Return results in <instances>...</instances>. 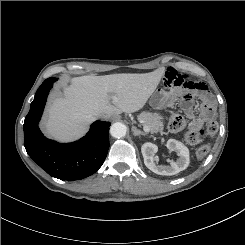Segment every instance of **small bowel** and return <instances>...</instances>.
Here are the masks:
<instances>
[{"instance_id":"c3829d8e","label":"small bowel","mask_w":245,"mask_h":245,"mask_svg":"<svg viewBox=\"0 0 245 245\" xmlns=\"http://www.w3.org/2000/svg\"><path fill=\"white\" fill-rule=\"evenodd\" d=\"M166 79L168 84L172 86H182L199 94L208 93L207 88L203 84L186 78L185 75L178 73L174 69L168 70L166 74ZM184 107L187 112L192 111V105L189 100H186ZM212 115H213V108L210 105H205L203 108L202 115L198 118L192 119V121L190 122V128L192 130L198 129L203 124L204 120L211 117Z\"/></svg>"}]
</instances>
